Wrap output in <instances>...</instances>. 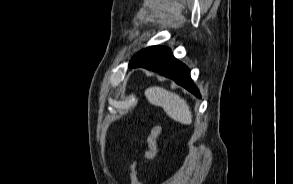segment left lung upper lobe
<instances>
[{"instance_id":"left-lung-upper-lobe-1","label":"left lung upper lobe","mask_w":293,"mask_h":184,"mask_svg":"<svg viewBox=\"0 0 293 184\" xmlns=\"http://www.w3.org/2000/svg\"><path fill=\"white\" fill-rule=\"evenodd\" d=\"M147 48L146 49H143L141 50L140 52H138L130 61V64H129V67L131 65H134L136 63H138L139 61L143 60L144 58L147 57Z\"/></svg>"}]
</instances>
